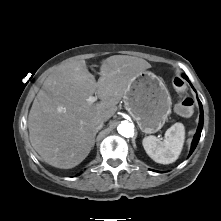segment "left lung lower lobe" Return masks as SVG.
<instances>
[{"instance_id":"1","label":"left lung lower lobe","mask_w":221,"mask_h":221,"mask_svg":"<svg viewBox=\"0 0 221 221\" xmlns=\"http://www.w3.org/2000/svg\"><path fill=\"white\" fill-rule=\"evenodd\" d=\"M184 78L188 79L185 75H184ZM198 102H199V106H200V119H199V125H198V128H197V132H196V134L194 136V139L192 141V145H191V150H190L189 156L195 150V148H196V146L198 144V141L200 139L201 131H202V128H203V108H202V104H201L199 99H198Z\"/></svg>"}]
</instances>
